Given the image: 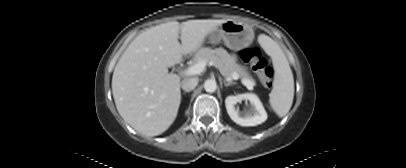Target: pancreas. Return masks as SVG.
Segmentation results:
<instances>
[{
	"label": "pancreas",
	"mask_w": 406,
	"mask_h": 168,
	"mask_svg": "<svg viewBox=\"0 0 406 168\" xmlns=\"http://www.w3.org/2000/svg\"><path fill=\"white\" fill-rule=\"evenodd\" d=\"M202 60L211 63L219 69L220 73L225 78L232 77V74L236 73L238 78H241L242 83L244 81H249L250 83L255 84L253 77L249 74L246 68L236 63L235 58L223 48H217L214 50L203 48L196 54L193 62L197 63Z\"/></svg>",
	"instance_id": "1"
}]
</instances>
